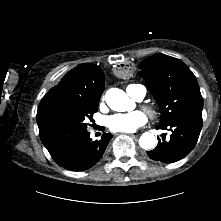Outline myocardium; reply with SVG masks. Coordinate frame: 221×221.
Instances as JSON below:
<instances>
[{"mask_svg":"<svg viewBox=\"0 0 221 221\" xmlns=\"http://www.w3.org/2000/svg\"><path fill=\"white\" fill-rule=\"evenodd\" d=\"M145 111L149 114L151 118H155L157 116V110L155 107L151 105L144 106Z\"/></svg>","mask_w":221,"mask_h":221,"instance_id":"obj_1","label":"myocardium"}]
</instances>
